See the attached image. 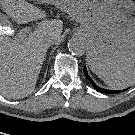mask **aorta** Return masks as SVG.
Listing matches in <instances>:
<instances>
[{
	"label": "aorta",
	"mask_w": 135,
	"mask_h": 135,
	"mask_svg": "<svg viewBox=\"0 0 135 135\" xmlns=\"http://www.w3.org/2000/svg\"><path fill=\"white\" fill-rule=\"evenodd\" d=\"M69 51L77 56H82L86 51V43L80 37H72L68 42Z\"/></svg>",
	"instance_id": "aorta-1"
}]
</instances>
